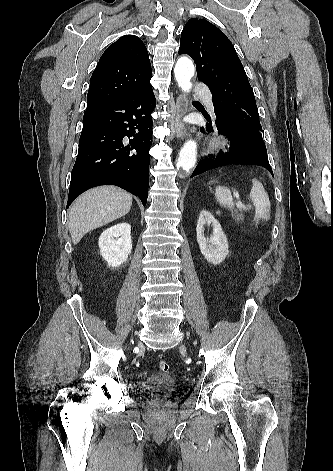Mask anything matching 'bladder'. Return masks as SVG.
<instances>
[{
	"mask_svg": "<svg viewBox=\"0 0 333 471\" xmlns=\"http://www.w3.org/2000/svg\"><path fill=\"white\" fill-rule=\"evenodd\" d=\"M179 387V381L167 373H156L143 380L138 387L139 393L154 396H169Z\"/></svg>",
	"mask_w": 333,
	"mask_h": 471,
	"instance_id": "31cf9c89",
	"label": "bladder"
}]
</instances>
